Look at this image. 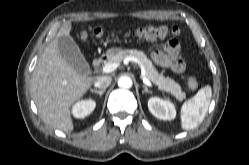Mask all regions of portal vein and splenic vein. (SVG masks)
Instances as JSON below:
<instances>
[{"label":"portal vein and splenic vein","instance_id":"1","mask_svg":"<svg viewBox=\"0 0 249 165\" xmlns=\"http://www.w3.org/2000/svg\"><path fill=\"white\" fill-rule=\"evenodd\" d=\"M118 65L119 64L116 62H110L102 67V72L111 73L117 69ZM142 80L145 85L149 87L152 86V83L150 82V80L145 76V70H142Z\"/></svg>","mask_w":249,"mask_h":165}]
</instances>
